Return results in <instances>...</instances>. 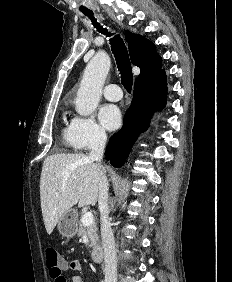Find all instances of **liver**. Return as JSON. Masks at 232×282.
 Masks as SVG:
<instances>
[{
    "instance_id": "liver-1",
    "label": "liver",
    "mask_w": 232,
    "mask_h": 282,
    "mask_svg": "<svg viewBox=\"0 0 232 282\" xmlns=\"http://www.w3.org/2000/svg\"><path fill=\"white\" fill-rule=\"evenodd\" d=\"M104 168L84 154H54L43 163L40 177L42 216L47 233L53 232L60 217L78 203L94 206Z\"/></svg>"
}]
</instances>
